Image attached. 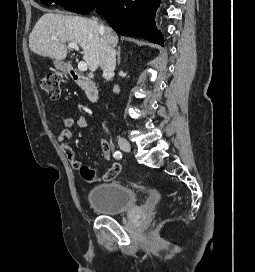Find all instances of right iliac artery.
<instances>
[{"mask_svg":"<svg viewBox=\"0 0 255 272\" xmlns=\"http://www.w3.org/2000/svg\"><path fill=\"white\" fill-rule=\"evenodd\" d=\"M115 157V159H121L122 158V153L119 151H116L113 155Z\"/></svg>","mask_w":255,"mask_h":272,"instance_id":"1","label":"right iliac artery"}]
</instances>
